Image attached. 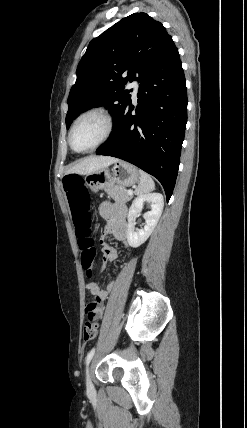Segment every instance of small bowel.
I'll return each mask as SVG.
<instances>
[{"instance_id": "small-bowel-1", "label": "small bowel", "mask_w": 247, "mask_h": 428, "mask_svg": "<svg viewBox=\"0 0 247 428\" xmlns=\"http://www.w3.org/2000/svg\"><path fill=\"white\" fill-rule=\"evenodd\" d=\"M100 215L107 221L108 231L115 239L128 246V225L126 222V211L123 207L113 202H103L99 208ZM102 257L104 263H111L118 257L116 249L108 244L103 245ZM115 282H110L106 289H103L98 283L90 282L85 285V289L93 298L107 299L109 292L114 288Z\"/></svg>"}]
</instances>
